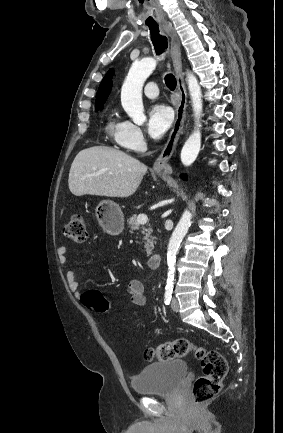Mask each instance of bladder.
I'll use <instances>...</instances> for the list:
<instances>
[{"instance_id": "obj_1", "label": "bladder", "mask_w": 283, "mask_h": 433, "mask_svg": "<svg viewBox=\"0 0 283 433\" xmlns=\"http://www.w3.org/2000/svg\"><path fill=\"white\" fill-rule=\"evenodd\" d=\"M187 373V364L181 360L155 362L134 376L131 387L135 393L175 392Z\"/></svg>"}]
</instances>
